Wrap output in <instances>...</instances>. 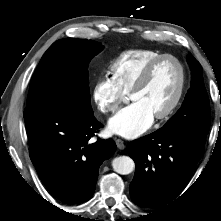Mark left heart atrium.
Here are the masks:
<instances>
[{"label":"left heart atrium","instance_id":"39dd6f15","mask_svg":"<svg viewBox=\"0 0 221 221\" xmlns=\"http://www.w3.org/2000/svg\"><path fill=\"white\" fill-rule=\"evenodd\" d=\"M154 116L141 103L133 102L109 120L108 130L125 138H135L153 123Z\"/></svg>","mask_w":221,"mask_h":221}]
</instances>
